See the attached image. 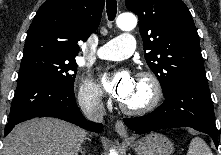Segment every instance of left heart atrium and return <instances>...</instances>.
Instances as JSON below:
<instances>
[{
	"label": "left heart atrium",
	"instance_id": "left-heart-atrium-1",
	"mask_svg": "<svg viewBox=\"0 0 221 155\" xmlns=\"http://www.w3.org/2000/svg\"><path fill=\"white\" fill-rule=\"evenodd\" d=\"M135 79L131 72L122 69L114 73H106L102 77L105 90L119 101H124L133 89Z\"/></svg>",
	"mask_w": 221,
	"mask_h": 155
}]
</instances>
